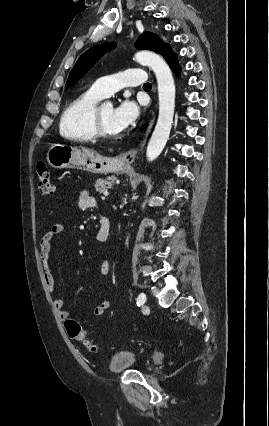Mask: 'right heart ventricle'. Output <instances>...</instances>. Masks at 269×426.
Wrapping results in <instances>:
<instances>
[{"instance_id":"1","label":"right heart ventricle","mask_w":269,"mask_h":426,"mask_svg":"<svg viewBox=\"0 0 269 426\" xmlns=\"http://www.w3.org/2000/svg\"><path fill=\"white\" fill-rule=\"evenodd\" d=\"M101 98L89 89L70 102L60 119L61 135L77 142L94 140L92 116Z\"/></svg>"}]
</instances>
